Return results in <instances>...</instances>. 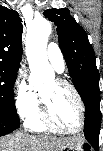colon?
I'll use <instances>...</instances> for the list:
<instances>
[{"label": "colon", "mask_w": 103, "mask_h": 151, "mask_svg": "<svg viewBox=\"0 0 103 151\" xmlns=\"http://www.w3.org/2000/svg\"><path fill=\"white\" fill-rule=\"evenodd\" d=\"M84 151H90V149L89 148H84Z\"/></svg>", "instance_id": "colon-1"}]
</instances>
